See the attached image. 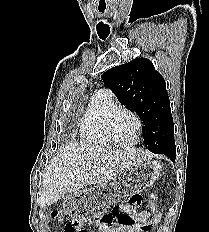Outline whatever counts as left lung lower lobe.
<instances>
[{"instance_id":"1","label":"left lung lower lobe","mask_w":209,"mask_h":232,"mask_svg":"<svg viewBox=\"0 0 209 232\" xmlns=\"http://www.w3.org/2000/svg\"><path fill=\"white\" fill-rule=\"evenodd\" d=\"M174 155H175V157H176V147L174 148ZM174 160H175V158H174ZM173 160V161H174Z\"/></svg>"}]
</instances>
